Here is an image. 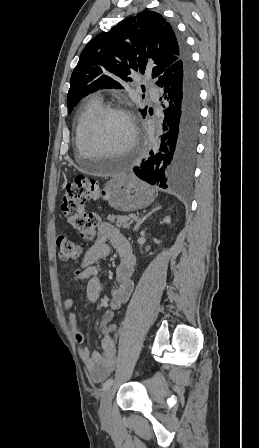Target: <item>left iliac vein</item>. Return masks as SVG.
Here are the masks:
<instances>
[{"mask_svg": "<svg viewBox=\"0 0 259 448\" xmlns=\"http://www.w3.org/2000/svg\"><path fill=\"white\" fill-rule=\"evenodd\" d=\"M113 390L107 389L101 396L99 415L101 421L107 423L111 419V402H112Z\"/></svg>", "mask_w": 259, "mask_h": 448, "instance_id": "4c4485c4", "label": "left iliac vein"}]
</instances>
